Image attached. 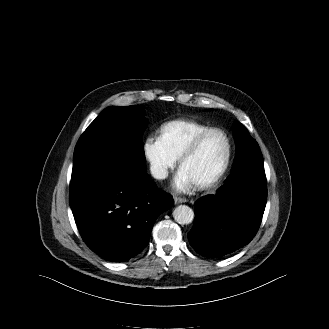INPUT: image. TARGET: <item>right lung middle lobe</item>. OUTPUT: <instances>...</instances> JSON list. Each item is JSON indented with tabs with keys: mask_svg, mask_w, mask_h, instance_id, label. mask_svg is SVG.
I'll return each mask as SVG.
<instances>
[{
	"mask_svg": "<svg viewBox=\"0 0 329 329\" xmlns=\"http://www.w3.org/2000/svg\"><path fill=\"white\" fill-rule=\"evenodd\" d=\"M144 115L138 106L104 109L77 142L71 178L97 168H109L128 176L145 173Z\"/></svg>",
	"mask_w": 329,
	"mask_h": 329,
	"instance_id": "dd1d6c3e",
	"label": "right lung middle lobe"
}]
</instances>
